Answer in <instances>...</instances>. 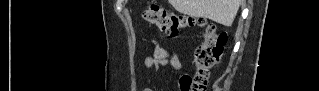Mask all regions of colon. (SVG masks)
Wrapping results in <instances>:
<instances>
[{
	"label": "colon",
	"instance_id": "1",
	"mask_svg": "<svg viewBox=\"0 0 319 91\" xmlns=\"http://www.w3.org/2000/svg\"><path fill=\"white\" fill-rule=\"evenodd\" d=\"M148 24L159 28L170 37L179 36L184 30L198 26L202 29L203 40L195 51V74L180 79L181 91H205L213 68L217 65L227 36L219 32L215 24L177 14L159 5H150L142 13Z\"/></svg>",
	"mask_w": 319,
	"mask_h": 91
}]
</instances>
